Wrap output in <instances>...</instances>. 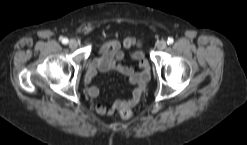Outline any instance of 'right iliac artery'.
<instances>
[{
	"label": "right iliac artery",
	"mask_w": 247,
	"mask_h": 145,
	"mask_svg": "<svg viewBox=\"0 0 247 145\" xmlns=\"http://www.w3.org/2000/svg\"><path fill=\"white\" fill-rule=\"evenodd\" d=\"M68 42H69V41H68L67 38H63V39H62V43H63V44H67Z\"/></svg>",
	"instance_id": "82829eb1"
}]
</instances>
